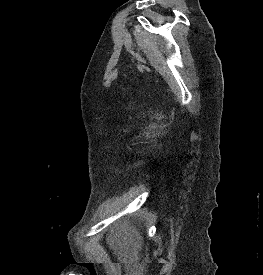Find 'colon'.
Segmentation results:
<instances>
[{"label":"colon","mask_w":263,"mask_h":275,"mask_svg":"<svg viewBox=\"0 0 263 275\" xmlns=\"http://www.w3.org/2000/svg\"><path fill=\"white\" fill-rule=\"evenodd\" d=\"M145 271V266L138 254L135 255L134 260L130 266V274L131 275H143Z\"/></svg>","instance_id":"1"}]
</instances>
